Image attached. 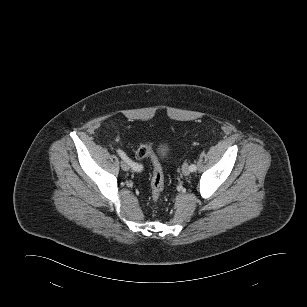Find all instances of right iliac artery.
Wrapping results in <instances>:
<instances>
[{
    "mask_svg": "<svg viewBox=\"0 0 307 307\" xmlns=\"http://www.w3.org/2000/svg\"><path fill=\"white\" fill-rule=\"evenodd\" d=\"M117 153L119 156L128 164L134 171H141L142 170V165H139L138 163L133 162L126 154L123 152L121 149L117 150Z\"/></svg>",
    "mask_w": 307,
    "mask_h": 307,
    "instance_id": "obj_1",
    "label": "right iliac artery"
}]
</instances>
